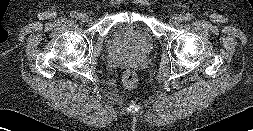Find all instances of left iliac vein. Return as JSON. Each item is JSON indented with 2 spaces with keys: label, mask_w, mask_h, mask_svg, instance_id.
<instances>
[{
  "label": "left iliac vein",
  "mask_w": 253,
  "mask_h": 131,
  "mask_svg": "<svg viewBox=\"0 0 253 131\" xmlns=\"http://www.w3.org/2000/svg\"><path fill=\"white\" fill-rule=\"evenodd\" d=\"M183 16H176V17H174V19H173V21H174V23L175 24H180V23H182L183 22Z\"/></svg>",
  "instance_id": "obj_1"
}]
</instances>
